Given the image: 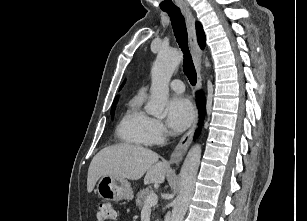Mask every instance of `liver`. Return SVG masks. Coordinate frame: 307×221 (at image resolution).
Returning a JSON list of instances; mask_svg holds the SVG:
<instances>
[{
  "label": "liver",
  "instance_id": "obj_1",
  "mask_svg": "<svg viewBox=\"0 0 307 221\" xmlns=\"http://www.w3.org/2000/svg\"><path fill=\"white\" fill-rule=\"evenodd\" d=\"M167 169L168 165L160 162L158 154L148 148L129 144L109 146L100 150L90 163L87 191L92 192L102 176L139 180L145 175V184H160Z\"/></svg>",
  "mask_w": 307,
  "mask_h": 221
}]
</instances>
